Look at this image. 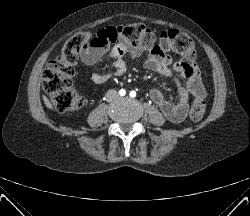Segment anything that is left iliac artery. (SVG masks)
Segmentation results:
<instances>
[{
    "label": "left iliac artery",
    "mask_w": 250,
    "mask_h": 216,
    "mask_svg": "<svg viewBox=\"0 0 250 216\" xmlns=\"http://www.w3.org/2000/svg\"><path fill=\"white\" fill-rule=\"evenodd\" d=\"M129 95H130V97H132V98H133V97H135V96H136V92H135V91H131Z\"/></svg>",
    "instance_id": "44dca946"
}]
</instances>
